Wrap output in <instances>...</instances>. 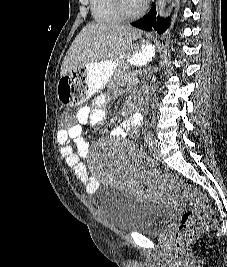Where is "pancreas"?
<instances>
[{"mask_svg": "<svg viewBox=\"0 0 227 267\" xmlns=\"http://www.w3.org/2000/svg\"><path fill=\"white\" fill-rule=\"evenodd\" d=\"M137 81L134 73H131L126 68L117 71L110 81L111 86H121L124 84H133Z\"/></svg>", "mask_w": 227, "mask_h": 267, "instance_id": "1", "label": "pancreas"}]
</instances>
